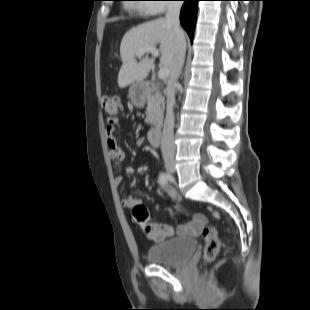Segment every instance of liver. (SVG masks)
I'll use <instances>...</instances> for the list:
<instances>
[{
	"instance_id": "6515ba94",
	"label": "liver",
	"mask_w": 310,
	"mask_h": 310,
	"mask_svg": "<svg viewBox=\"0 0 310 310\" xmlns=\"http://www.w3.org/2000/svg\"><path fill=\"white\" fill-rule=\"evenodd\" d=\"M157 45L161 52L160 64L167 67L170 73L175 50V34L172 25L165 18L134 27L123 36L120 44L122 66L118 74L120 88H125L133 82H143L154 59L146 56L137 62L135 57L142 49Z\"/></svg>"
}]
</instances>
